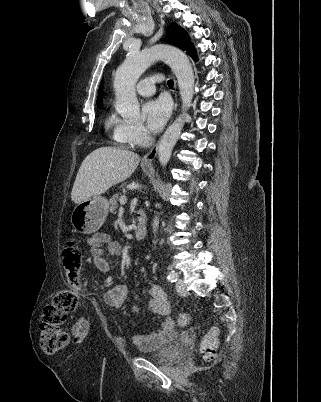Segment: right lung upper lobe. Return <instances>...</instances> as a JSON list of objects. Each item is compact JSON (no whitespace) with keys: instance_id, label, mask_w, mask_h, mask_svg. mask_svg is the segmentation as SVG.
Listing matches in <instances>:
<instances>
[{"instance_id":"obj_1","label":"right lung upper lobe","mask_w":321,"mask_h":402,"mask_svg":"<svg viewBox=\"0 0 321 402\" xmlns=\"http://www.w3.org/2000/svg\"><path fill=\"white\" fill-rule=\"evenodd\" d=\"M103 81L100 84L99 92H98V98H97V105L102 106V99H103V93H102V88H103Z\"/></svg>"}]
</instances>
